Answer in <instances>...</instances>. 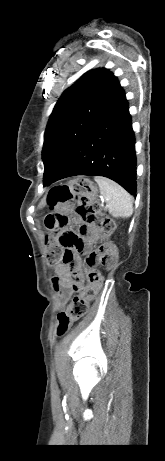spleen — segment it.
<instances>
[{
	"label": "spleen",
	"instance_id": "3e777b00",
	"mask_svg": "<svg viewBox=\"0 0 165 461\" xmlns=\"http://www.w3.org/2000/svg\"><path fill=\"white\" fill-rule=\"evenodd\" d=\"M100 193L106 201V209L115 218H128L133 213V198L119 184L105 177L96 176Z\"/></svg>",
	"mask_w": 165,
	"mask_h": 461
}]
</instances>
